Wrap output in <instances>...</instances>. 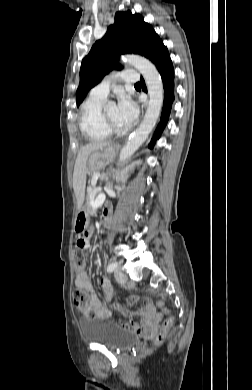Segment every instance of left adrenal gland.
Returning a JSON list of instances; mask_svg holds the SVG:
<instances>
[{
	"label": "left adrenal gland",
	"instance_id": "left-adrenal-gland-1",
	"mask_svg": "<svg viewBox=\"0 0 252 390\" xmlns=\"http://www.w3.org/2000/svg\"><path fill=\"white\" fill-rule=\"evenodd\" d=\"M128 178V174L122 176V181L124 182Z\"/></svg>",
	"mask_w": 252,
	"mask_h": 390
}]
</instances>
